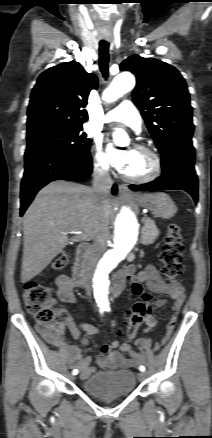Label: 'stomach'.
Here are the masks:
<instances>
[{
	"mask_svg": "<svg viewBox=\"0 0 212 438\" xmlns=\"http://www.w3.org/2000/svg\"><path fill=\"white\" fill-rule=\"evenodd\" d=\"M137 202L148 208L156 217L169 219L177 212V207L165 193L142 194L137 197Z\"/></svg>",
	"mask_w": 212,
	"mask_h": 438,
	"instance_id": "0dacf381",
	"label": "stomach"
}]
</instances>
